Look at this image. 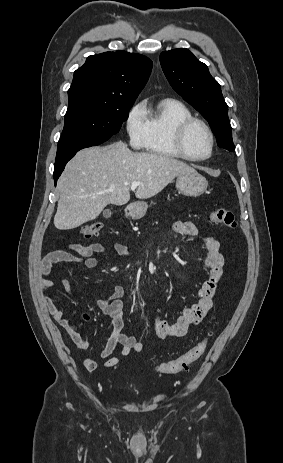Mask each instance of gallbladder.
Wrapping results in <instances>:
<instances>
[{
	"instance_id": "obj_1",
	"label": "gallbladder",
	"mask_w": 283,
	"mask_h": 463,
	"mask_svg": "<svg viewBox=\"0 0 283 463\" xmlns=\"http://www.w3.org/2000/svg\"><path fill=\"white\" fill-rule=\"evenodd\" d=\"M103 215H104L105 217H109V216L111 215V211L108 210V209H106V210L103 211Z\"/></svg>"
}]
</instances>
